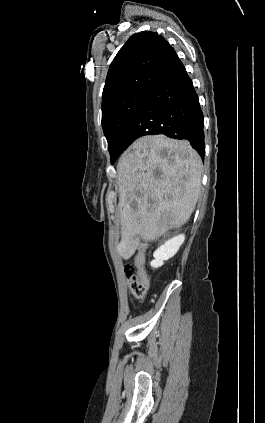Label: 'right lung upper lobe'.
Wrapping results in <instances>:
<instances>
[{
  "label": "right lung upper lobe",
  "instance_id": "right-lung-upper-lobe-1",
  "mask_svg": "<svg viewBox=\"0 0 265 423\" xmlns=\"http://www.w3.org/2000/svg\"><path fill=\"white\" fill-rule=\"evenodd\" d=\"M176 57L163 36L148 31L132 35L109 67L102 111L132 92L151 90Z\"/></svg>",
  "mask_w": 265,
  "mask_h": 423
}]
</instances>
